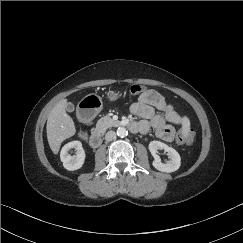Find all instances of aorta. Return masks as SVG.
I'll use <instances>...</instances> for the list:
<instances>
[{
	"instance_id": "obj_1",
	"label": "aorta",
	"mask_w": 243,
	"mask_h": 243,
	"mask_svg": "<svg viewBox=\"0 0 243 243\" xmlns=\"http://www.w3.org/2000/svg\"><path fill=\"white\" fill-rule=\"evenodd\" d=\"M127 134H128V131L124 127H119L117 129V135L119 137L123 138V137L127 136Z\"/></svg>"
}]
</instances>
